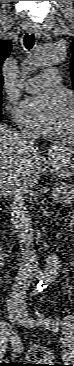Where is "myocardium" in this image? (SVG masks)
<instances>
[{
    "label": "myocardium",
    "mask_w": 74,
    "mask_h": 366,
    "mask_svg": "<svg viewBox=\"0 0 74 366\" xmlns=\"http://www.w3.org/2000/svg\"><path fill=\"white\" fill-rule=\"evenodd\" d=\"M71 115H72V125H71V129L67 132V135H65V138H68L69 136H71L72 134H74V107L71 105ZM61 137H64L63 135H61Z\"/></svg>",
    "instance_id": "obj_1"
}]
</instances>
